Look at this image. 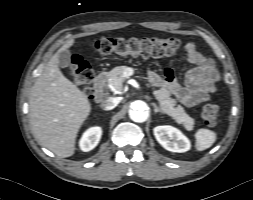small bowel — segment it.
I'll return each instance as SVG.
<instances>
[{"label":"small bowel","mask_w":253,"mask_h":200,"mask_svg":"<svg viewBox=\"0 0 253 200\" xmlns=\"http://www.w3.org/2000/svg\"><path fill=\"white\" fill-rule=\"evenodd\" d=\"M188 55L195 68L188 74L187 85L178 86L177 91L184 103L192 105L209 99L216 89L218 75L213 60L203 56L192 44L188 46ZM167 77L173 80L170 73Z\"/></svg>","instance_id":"1"}]
</instances>
